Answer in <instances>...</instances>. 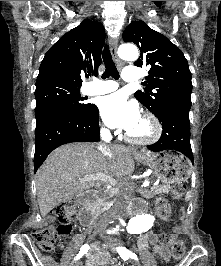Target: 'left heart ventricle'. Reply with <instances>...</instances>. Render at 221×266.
<instances>
[{"mask_svg": "<svg viewBox=\"0 0 221 266\" xmlns=\"http://www.w3.org/2000/svg\"><path fill=\"white\" fill-rule=\"evenodd\" d=\"M129 132L136 136H144L148 133V126L143 120H141V122Z\"/></svg>", "mask_w": 221, "mask_h": 266, "instance_id": "1", "label": "left heart ventricle"}]
</instances>
